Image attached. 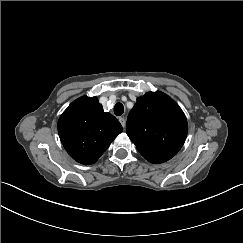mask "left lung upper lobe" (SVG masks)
Wrapping results in <instances>:
<instances>
[{
	"label": "left lung upper lobe",
	"instance_id": "5c2ea615",
	"mask_svg": "<svg viewBox=\"0 0 243 243\" xmlns=\"http://www.w3.org/2000/svg\"><path fill=\"white\" fill-rule=\"evenodd\" d=\"M186 117L178 104L163 92H148L137 99L127 120V135L151 163L175 156L185 142Z\"/></svg>",
	"mask_w": 243,
	"mask_h": 243
}]
</instances>
